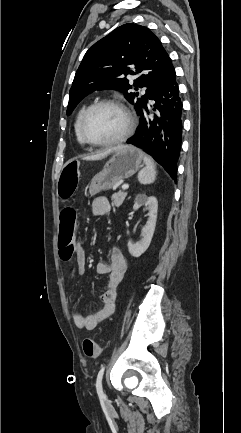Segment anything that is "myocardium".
<instances>
[{
    "mask_svg": "<svg viewBox=\"0 0 241 433\" xmlns=\"http://www.w3.org/2000/svg\"><path fill=\"white\" fill-rule=\"evenodd\" d=\"M102 106H113V107H116L119 110H121V112L125 116L126 126H125L124 131L117 138L110 140V141H107V142H95V141L90 140L87 137L86 132H85V125H86L87 119L90 116V114L94 110H96L97 108L102 107ZM133 126H134V121H133L132 114H131L130 110L128 109V107L123 102H121L120 100H117V99H102V100L94 102L89 107H87V109L84 111V113L81 117V120H80L79 131H80L81 138L85 144L93 146V147H111V146H115V145H118V144L124 142L130 136V134L133 130Z\"/></svg>",
    "mask_w": 241,
    "mask_h": 433,
    "instance_id": "myocardium-1",
    "label": "myocardium"
}]
</instances>
